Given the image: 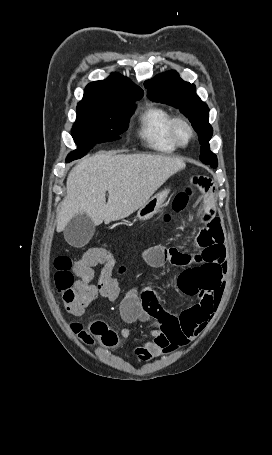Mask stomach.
Returning <instances> with one entry per match:
<instances>
[{
  "instance_id": "1",
  "label": "stomach",
  "mask_w": 272,
  "mask_h": 455,
  "mask_svg": "<svg viewBox=\"0 0 272 455\" xmlns=\"http://www.w3.org/2000/svg\"><path fill=\"white\" fill-rule=\"evenodd\" d=\"M169 192L170 188H165L152 196L142 207L138 209L137 218L142 221L152 218L165 204Z\"/></svg>"
}]
</instances>
